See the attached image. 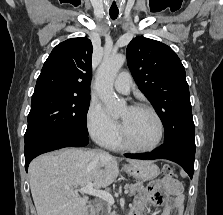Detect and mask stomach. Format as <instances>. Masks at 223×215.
I'll list each match as a JSON object with an SVG mask.
<instances>
[{
  "instance_id": "stomach-1",
  "label": "stomach",
  "mask_w": 223,
  "mask_h": 215,
  "mask_svg": "<svg viewBox=\"0 0 223 215\" xmlns=\"http://www.w3.org/2000/svg\"><path fill=\"white\" fill-rule=\"evenodd\" d=\"M124 171L128 175H132L135 179H154L159 175V167L153 161H140V163H129V165H124Z\"/></svg>"
}]
</instances>
